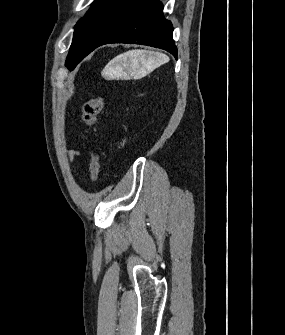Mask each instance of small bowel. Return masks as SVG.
<instances>
[{
  "mask_svg": "<svg viewBox=\"0 0 285 335\" xmlns=\"http://www.w3.org/2000/svg\"><path fill=\"white\" fill-rule=\"evenodd\" d=\"M76 155L74 151L71 152V157L73 158Z\"/></svg>",
  "mask_w": 285,
  "mask_h": 335,
  "instance_id": "obj_1",
  "label": "small bowel"
}]
</instances>
